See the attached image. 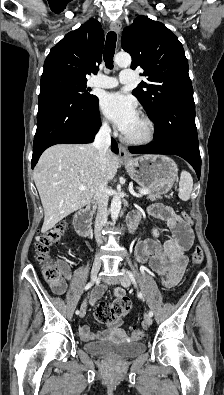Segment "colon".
Masks as SVG:
<instances>
[{"instance_id": "1", "label": "colon", "mask_w": 224, "mask_h": 395, "mask_svg": "<svg viewBox=\"0 0 224 395\" xmlns=\"http://www.w3.org/2000/svg\"><path fill=\"white\" fill-rule=\"evenodd\" d=\"M181 218L184 222L183 230H187L190 225V217L186 212H182ZM65 231L66 226L60 225L40 234L36 238V258L43 265L44 278L49 282L60 281L64 273V265L52 262L49 257V251L51 246L62 238ZM203 258L204 254L201 247L196 246L191 253L193 264H200ZM130 308V299L127 296H121L111 303H99L95 308L94 316L98 322L109 324L116 317L125 315ZM130 335L133 339H140L144 336V331L137 326H132L130 328Z\"/></svg>"}]
</instances>
